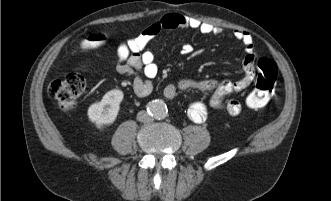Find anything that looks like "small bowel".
I'll list each match as a JSON object with an SVG mask.
<instances>
[{
    "mask_svg": "<svg viewBox=\"0 0 331 201\" xmlns=\"http://www.w3.org/2000/svg\"><path fill=\"white\" fill-rule=\"evenodd\" d=\"M192 29L204 35L220 34L222 28L182 14H168L150 24L137 35L120 42L116 47V70L121 75H133V91L138 97L148 96L153 89L151 80L157 75L158 67L154 54L147 49L148 44L166 29ZM232 35L243 43L246 56L243 62L244 76L238 81L224 79L196 81L184 79L164 88V96L173 100L180 90L196 89L211 91L209 102L195 101L187 109L188 117L195 123L204 122L211 109L224 110L235 116L241 112L242 105L237 99H225L232 92H241L250 86L255 78V52L251 34L244 30H234ZM189 45L182 47L181 53H189Z\"/></svg>",
    "mask_w": 331,
    "mask_h": 201,
    "instance_id": "1",
    "label": "small bowel"
}]
</instances>
